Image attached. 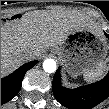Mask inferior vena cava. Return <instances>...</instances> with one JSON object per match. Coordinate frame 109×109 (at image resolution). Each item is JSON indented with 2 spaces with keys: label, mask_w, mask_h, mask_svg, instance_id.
I'll use <instances>...</instances> for the list:
<instances>
[{
  "label": "inferior vena cava",
  "mask_w": 109,
  "mask_h": 109,
  "mask_svg": "<svg viewBox=\"0 0 109 109\" xmlns=\"http://www.w3.org/2000/svg\"><path fill=\"white\" fill-rule=\"evenodd\" d=\"M22 57L25 60H30V59H33L34 58V54L32 53V51L26 50V51L22 52Z\"/></svg>",
  "instance_id": "602c4592"
}]
</instances>
